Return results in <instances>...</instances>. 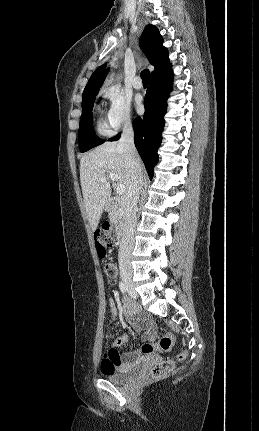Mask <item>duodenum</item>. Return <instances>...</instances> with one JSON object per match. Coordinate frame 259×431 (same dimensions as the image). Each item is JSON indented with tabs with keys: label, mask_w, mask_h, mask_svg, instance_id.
Segmentation results:
<instances>
[{
	"label": "duodenum",
	"mask_w": 259,
	"mask_h": 431,
	"mask_svg": "<svg viewBox=\"0 0 259 431\" xmlns=\"http://www.w3.org/2000/svg\"><path fill=\"white\" fill-rule=\"evenodd\" d=\"M119 201L116 199H111L108 201L107 205H106V210L107 211H111L114 210L118 207ZM123 234H124V228L121 227L119 228L118 232H117V236H116V240H117V244L120 245L122 242V238H123Z\"/></svg>",
	"instance_id": "410a0bca"
}]
</instances>
